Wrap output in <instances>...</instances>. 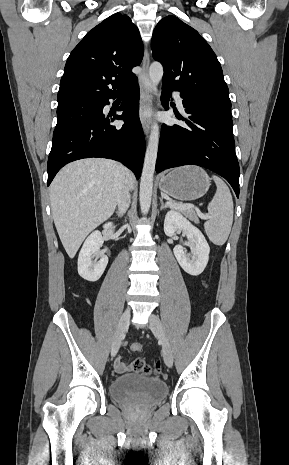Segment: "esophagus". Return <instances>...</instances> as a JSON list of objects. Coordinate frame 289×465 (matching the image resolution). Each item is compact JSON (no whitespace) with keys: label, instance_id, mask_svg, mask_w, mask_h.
I'll list each match as a JSON object with an SVG mask.
<instances>
[{"label":"esophagus","instance_id":"1","mask_svg":"<svg viewBox=\"0 0 289 465\" xmlns=\"http://www.w3.org/2000/svg\"><path fill=\"white\" fill-rule=\"evenodd\" d=\"M149 65H150V57L148 49L146 48L144 57H143V72L140 77V89H141V107L144 110H149L151 104V86L149 80ZM141 124L145 135L148 137L150 127H151V119L147 115H142L141 117Z\"/></svg>","mask_w":289,"mask_h":465}]
</instances>
